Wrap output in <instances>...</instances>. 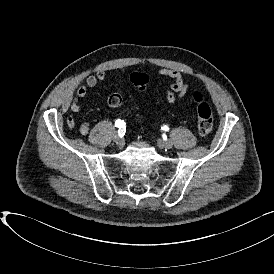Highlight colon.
I'll return each mask as SVG.
<instances>
[{"instance_id": "1", "label": "colon", "mask_w": 274, "mask_h": 274, "mask_svg": "<svg viewBox=\"0 0 274 274\" xmlns=\"http://www.w3.org/2000/svg\"><path fill=\"white\" fill-rule=\"evenodd\" d=\"M131 83L139 89H144L148 83V76L142 72H133L130 75ZM192 101L197 107V127L201 134H208L211 132L213 126V115L209 104L204 100L199 92H193L191 95ZM109 104L111 106H119L122 101L120 93H115L109 97ZM77 123L74 116H70L67 120L69 128H72Z\"/></svg>"}]
</instances>
